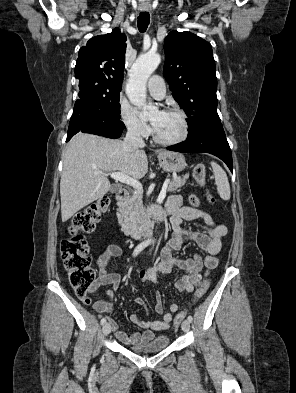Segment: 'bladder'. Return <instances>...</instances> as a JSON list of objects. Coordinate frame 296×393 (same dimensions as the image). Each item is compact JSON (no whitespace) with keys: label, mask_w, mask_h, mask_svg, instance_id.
I'll return each mask as SVG.
<instances>
[{"label":"bladder","mask_w":296,"mask_h":393,"mask_svg":"<svg viewBox=\"0 0 296 393\" xmlns=\"http://www.w3.org/2000/svg\"><path fill=\"white\" fill-rule=\"evenodd\" d=\"M170 343V338L166 335L154 337L150 342L142 346H130L129 350L137 353H155L164 350Z\"/></svg>","instance_id":"bladder-1"}]
</instances>
